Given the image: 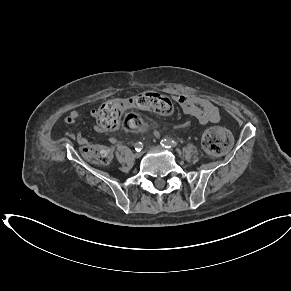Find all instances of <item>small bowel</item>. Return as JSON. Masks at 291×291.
Masks as SVG:
<instances>
[{
  "label": "small bowel",
  "mask_w": 291,
  "mask_h": 291,
  "mask_svg": "<svg viewBox=\"0 0 291 291\" xmlns=\"http://www.w3.org/2000/svg\"><path fill=\"white\" fill-rule=\"evenodd\" d=\"M175 100L185 114L195 118L201 125L217 123L221 120L218 107L207 98L197 95L179 94L175 96ZM91 114L96 116L97 111L92 110ZM80 117V111L72 109L60 120L59 124L72 125L77 122ZM67 136L69 139L75 140L79 145H86L88 143L87 138L81 133L76 134L69 132ZM110 142L115 144L116 139L111 138Z\"/></svg>",
  "instance_id": "1"
}]
</instances>
